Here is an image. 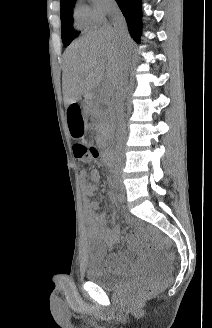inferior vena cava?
<instances>
[{
  "mask_svg": "<svg viewBox=\"0 0 212 328\" xmlns=\"http://www.w3.org/2000/svg\"><path fill=\"white\" fill-rule=\"evenodd\" d=\"M109 15L112 19L114 29L117 33V35L121 38L125 37L127 35V26L126 21L119 10V8L116 5H112L109 9ZM126 85H127V79L126 75L121 70L114 83L113 91L111 92V111L115 118V124H116V131H117V147L120 148L125 139V120H124V100L126 96ZM123 157L122 155L117 152V161L116 165L114 167L115 173L114 178L120 179L121 176L124 174V167L125 164L122 161Z\"/></svg>",
  "mask_w": 212,
  "mask_h": 328,
  "instance_id": "602c4592",
  "label": "inferior vena cava"
}]
</instances>
